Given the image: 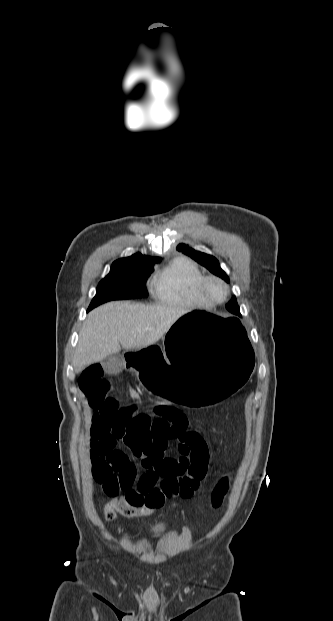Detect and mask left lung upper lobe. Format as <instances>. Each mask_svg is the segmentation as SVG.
I'll list each match as a JSON object with an SVG mask.
<instances>
[{
    "instance_id": "obj_1",
    "label": "left lung upper lobe",
    "mask_w": 333,
    "mask_h": 621,
    "mask_svg": "<svg viewBox=\"0 0 333 621\" xmlns=\"http://www.w3.org/2000/svg\"><path fill=\"white\" fill-rule=\"evenodd\" d=\"M177 250L183 252L184 254H186L188 256H190L196 262H198L199 264H201L202 266L207 268L214 275L222 278L226 282H229L228 276L220 268L219 262H218V260L215 257H213L211 255H208L206 253H202V252L196 251L193 248H191L188 245L183 244V243L179 244L177 246ZM227 310L229 312H231L232 314L241 316L240 308H239V306L237 304L235 296L232 297V299L227 304Z\"/></svg>"
}]
</instances>
